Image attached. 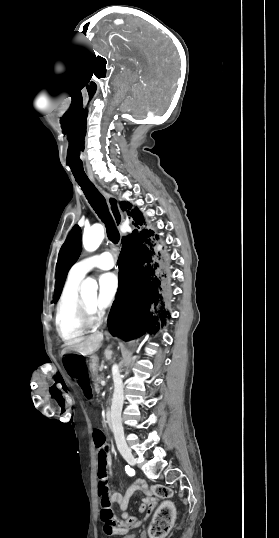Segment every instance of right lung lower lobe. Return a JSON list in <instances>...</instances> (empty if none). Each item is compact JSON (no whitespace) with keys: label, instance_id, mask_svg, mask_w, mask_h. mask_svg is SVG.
I'll list each match as a JSON object with an SVG mask.
<instances>
[{"label":"right lung lower lobe","instance_id":"1","mask_svg":"<svg viewBox=\"0 0 279 538\" xmlns=\"http://www.w3.org/2000/svg\"><path fill=\"white\" fill-rule=\"evenodd\" d=\"M130 207L121 203L123 210ZM131 215L137 229L123 237L118 260L119 289L108 318L109 331L125 339H134L146 331L156 332L158 317L153 316L151 308L159 306V318L165 324L169 312L164 306L172 298L168 260L155 241L158 235L152 230H140L144 220L137 209Z\"/></svg>","mask_w":279,"mask_h":538}]
</instances>
